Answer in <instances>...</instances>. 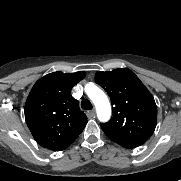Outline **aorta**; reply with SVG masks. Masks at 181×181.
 I'll return each mask as SVG.
<instances>
[{"label":"aorta","mask_w":181,"mask_h":181,"mask_svg":"<svg viewBox=\"0 0 181 181\" xmlns=\"http://www.w3.org/2000/svg\"><path fill=\"white\" fill-rule=\"evenodd\" d=\"M85 90L96 107L98 119L102 122L108 121L111 116V105L106 94L93 83L87 84Z\"/></svg>","instance_id":"obj_1"}]
</instances>
